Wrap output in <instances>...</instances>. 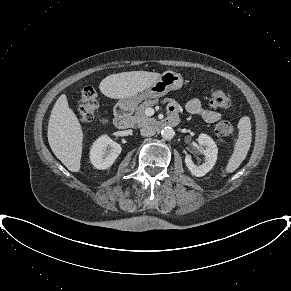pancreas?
Masks as SVG:
<instances>
[{"instance_id":"obj_1","label":"pancreas","mask_w":291,"mask_h":291,"mask_svg":"<svg viewBox=\"0 0 291 291\" xmlns=\"http://www.w3.org/2000/svg\"><path fill=\"white\" fill-rule=\"evenodd\" d=\"M170 101H172V99L165 98L164 100H162V103H166ZM157 103H158V99L147 100V101H144L142 104H140L136 108L135 114L132 117H130V125L132 127H141V126L152 124L155 121V119L149 118L148 116H146L145 110L149 107L156 105Z\"/></svg>"}]
</instances>
